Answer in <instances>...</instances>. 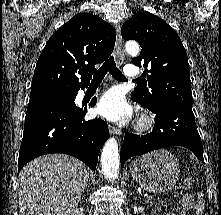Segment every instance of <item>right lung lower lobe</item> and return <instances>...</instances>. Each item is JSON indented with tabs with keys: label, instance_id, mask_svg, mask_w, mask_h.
Returning a JSON list of instances; mask_svg holds the SVG:
<instances>
[{
	"label": "right lung lower lobe",
	"instance_id": "right-lung-lower-lobe-1",
	"mask_svg": "<svg viewBox=\"0 0 221 215\" xmlns=\"http://www.w3.org/2000/svg\"><path fill=\"white\" fill-rule=\"evenodd\" d=\"M77 94L78 91L69 94L64 102L27 109L18 172L32 159L50 153L74 156L95 171L100 148L109 138V130L101 118L84 120L86 109L74 103ZM95 104L96 98H93L92 105Z\"/></svg>",
	"mask_w": 221,
	"mask_h": 215
}]
</instances>
